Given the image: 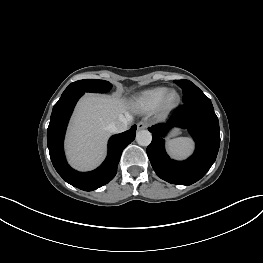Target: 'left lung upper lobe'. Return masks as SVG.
Here are the masks:
<instances>
[{
    "mask_svg": "<svg viewBox=\"0 0 263 263\" xmlns=\"http://www.w3.org/2000/svg\"><path fill=\"white\" fill-rule=\"evenodd\" d=\"M175 83L183 89L184 102L205 96V94L189 80H175Z\"/></svg>",
    "mask_w": 263,
    "mask_h": 263,
    "instance_id": "left-lung-upper-lobe-1",
    "label": "left lung upper lobe"
}]
</instances>
